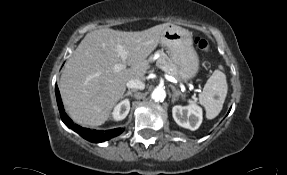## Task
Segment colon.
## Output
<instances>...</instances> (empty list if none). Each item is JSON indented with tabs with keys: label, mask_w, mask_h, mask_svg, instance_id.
<instances>
[{
	"label": "colon",
	"mask_w": 287,
	"mask_h": 175,
	"mask_svg": "<svg viewBox=\"0 0 287 175\" xmlns=\"http://www.w3.org/2000/svg\"><path fill=\"white\" fill-rule=\"evenodd\" d=\"M195 45L199 50H201L204 53H207L209 51L208 41L202 37H197L195 39Z\"/></svg>",
	"instance_id": "5ec220e1"
}]
</instances>
